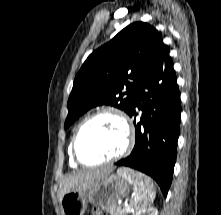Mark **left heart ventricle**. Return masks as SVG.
<instances>
[{
	"label": "left heart ventricle",
	"instance_id": "b2bd125f",
	"mask_svg": "<svg viewBox=\"0 0 221 215\" xmlns=\"http://www.w3.org/2000/svg\"><path fill=\"white\" fill-rule=\"evenodd\" d=\"M125 142L123 126L112 115H101L92 120L78 140V152L85 162H99L119 152Z\"/></svg>",
	"mask_w": 221,
	"mask_h": 215
}]
</instances>
